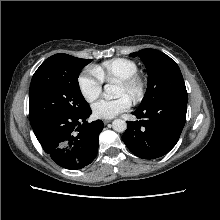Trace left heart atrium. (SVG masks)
Returning <instances> with one entry per match:
<instances>
[{"label": "left heart atrium", "mask_w": 220, "mask_h": 220, "mask_svg": "<svg viewBox=\"0 0 220 220\" xmlns=\"http://www.w3.org/2000/svg\"><path fill=\"white\" fill-rule=\"evenodd\" d=\"M130 99L121 95L115 99H100L93 103L92 112L96 118L110 119L129 109Z\"/></svg>", "instance_id": "1"}]
</instances>
